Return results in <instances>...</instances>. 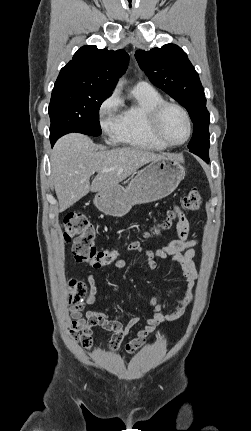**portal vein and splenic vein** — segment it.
<instances>
[{"label": "portal vein and splenic vein", "mask_w": 251, "mask_h": 431, "mask_svg": "<svg viewBox=\"0 0 251 431\" xmlns=\"http://www.w3.org/2000/svg\"><path fill=\"white\" fill-rule=\"evenodd\" d=\"M111 169H104L102 172H109Z\"/></svg>", "instance_id": "1"}]
</instances>
